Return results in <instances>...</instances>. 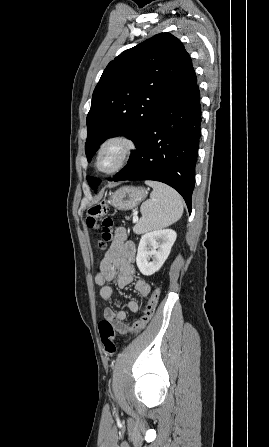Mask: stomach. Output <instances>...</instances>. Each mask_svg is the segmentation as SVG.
I'll return each mask as SVG.
<instances>
[{
	"label": "stomach",
	"mask_w": 269,
	"mask_h": 447,
	"mask_svg": "<svg viewBox=\"0 0 269 447\" xmlns=\"http://www.w3.org/2000/svg\"><path fill=\"white\" fill-rule=\"evenodd\" d=\"M147 196V190L144 188H120L109 200V204L116 210H133L140 202H143Z\"/></svg>",
	"instance_id": "obj_1"
}]
</instances>
